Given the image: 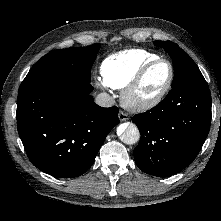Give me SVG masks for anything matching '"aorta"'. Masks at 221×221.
<instances>
[{"mask_svg": "<svg viewBox=\"0 0 221 221\" xmlns=\"http://www.w3.org/2000/svg\"><path fill=\"white\" fill-rule=\"evenodd\" d=\"M117 135L123 143L128 145L135 144L140 139L138 127L130 122L120 124L117 128Z\"/></svg>", "mask_w": 221, "mask_h": 221, "instance_id": "762f6f07", "label": "aorta"}]
</instances>
